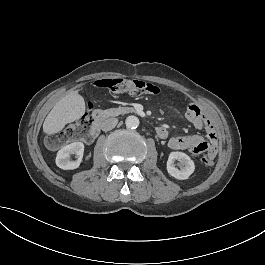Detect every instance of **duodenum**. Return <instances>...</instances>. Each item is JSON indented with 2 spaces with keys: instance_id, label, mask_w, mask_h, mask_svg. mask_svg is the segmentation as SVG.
Returning a JSON list of instances; mask_svg holds the SVG:
<instances>
[{
  "instance_id": "1",
  "label": "duodenum",
  "mask_w": 265,
  "mask_h": 265,
  "mask_svg": "<svg viewBox=\"0 0 265 265\" xmlns=\"http://www.w3.org/2000/svg\"><path fill=\"white\" fill-rule=\"evenodd\" d=\"M92 115H93L94 118H95V121H94V124H93L92 128H93L94 130L100 132L101 125H100L99 118L102 117V116L104 115V111L101 110V109H97V110H94V111L92 112ZM156 133H157V136H158L159 138L165 136V131L162 130V129H158Z\"/></svg>"
}]
</instances>
